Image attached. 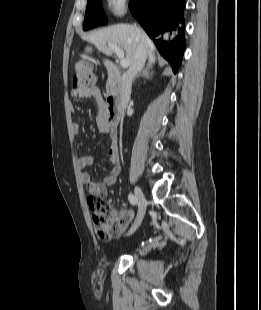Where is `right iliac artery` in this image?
<instances>
[{
    "label": "right iliac artery",
    "mask_w": 261,
    "mask_h": 310,
    "mask_svg": "<svg viewBox=\"0 0 261 310\" xmlns=\"http://www.w3.org/2000/svg\"><path fill=\"white\" fill-rule=\"evenodd\" d=\"M128 199H129V201H130V203L133 205V206H135L136 205V198H135V196L133 195V194H129L128 195Z\"/></svg>",
    "instance_id": "82829eb1"
}]
</instances>
